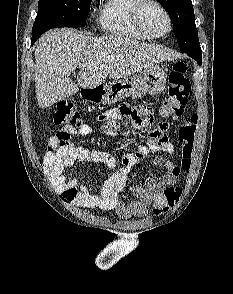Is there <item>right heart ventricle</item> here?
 <instances>
[{
    "mask_svg": "<svg viewBox=\"0 0 233 294\" xmlns=\"http://www.w3.org/2000/svg\"><path fill=\"white\" fill-rule=\"evenodd\" d=\"M138 1L105 0L98 15L102 31L120 38L149 40L134 23L133 11Z\"/></svg>",
    "mask_w": 233,
    "mask_h": 294,
    "instance_id": "right-heart-ventricle-1",
    "label": "right heart ventricle"
}]
</instances>
